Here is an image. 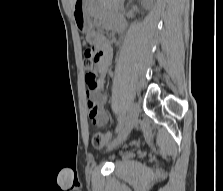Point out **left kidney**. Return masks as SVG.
I'll list each match as a JSON object with an SVG mask.
<instances>
[{
	"label": "left kidney",
	"mask_w": 223,
	"mask_h": 191,
	"mask_svg": "<svg viewBox=\"0 0 223 191\" xmlns=\"http://www.w3.org/2000/svg\"><path fill=\"white\" fill-rule=\"evenodd\" d=\"M150 2H152V1H151V0H144V1H143V5H144L145 7H147L148 4H149Z\"/></svg>",
	"instance_id": "obj_1"
}]
</instances>
